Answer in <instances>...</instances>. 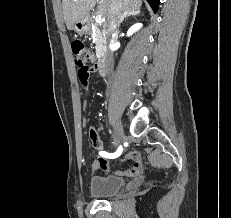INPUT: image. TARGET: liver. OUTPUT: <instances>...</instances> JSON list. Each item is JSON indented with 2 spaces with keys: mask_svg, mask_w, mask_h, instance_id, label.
<instances>
[{
  "mask_svg": "<svg viewBox=\"0 0 231 218\" xmlns=\"http://www.w3.org/2000/svg\"><path fill=\"white\" fill-rule=\"evenodd\" d=\"M112 0H100L98 13L108 19L110 15ZM96 0H62V10L64 20L68 30L73 29V25L85 19L91 9L95 7ZM141 0H122V11H140Z\"/></svg>",
  "mask_w": 231,
  "mask_h": 218,
  "instance_id": "1",
  "label": "liver"
}]
</instances>
